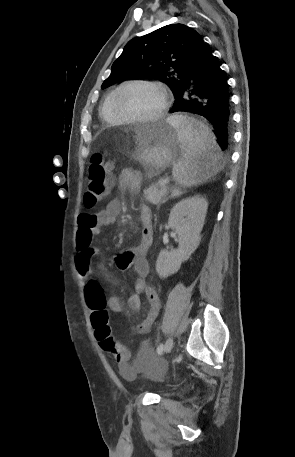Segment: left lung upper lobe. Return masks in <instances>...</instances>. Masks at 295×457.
I'll list each match as a JSON object with an SVG mask.
<instances>
[{"label":"left lung upper lobe","instance_id":"5c2ea615","mask_svg":"<svg viewBox=\"0 0 295 457\" xmlns=\"http://www.w3.org/2000/svg\"><path fill=\"white\" fill-rule=\"evenodd\" d=\"M203 42L202 36L184 24H171L130 40L115 60L101 88L121 80L145 79L165 83L176 96L184 73Z\"/></svg>","mask_w":295,"mask_h":457}]
</instances>
